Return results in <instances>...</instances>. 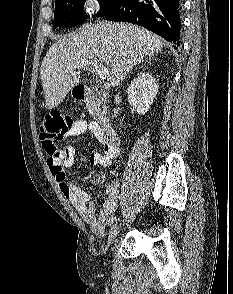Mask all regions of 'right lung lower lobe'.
I'll return each mask as SVG.
<instances>
[{
  "instance_id": "1",
  "label": "right lung lower lobe",
  "mask_w": 233,
  "mask_h": 294,
  "mask_svg": "<svg viewBox=\"0 0 233 294\" xmlns=\"http://www.w3.org/2000/svg\"><path fill=\"white\" fill-rule=\"evenodd\" d=\"M111 21L143 26L180 45V0H116L106 15Z\"/></svg>"
}]
</instances>
